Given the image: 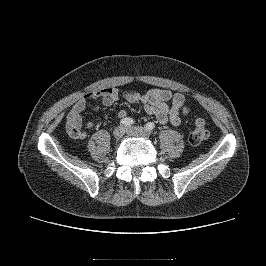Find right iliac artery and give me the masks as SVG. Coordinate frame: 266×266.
<instances>
[{
    "label": "right iliac artery",
    "mask_w": 266,
    "mask_h": 266,
    "mask_svg": "<svg viewBox=\"0 0 266 266\" xmlns=\"http://www.w3.org/2000/svg\"><path fill=\"white\" fill-rule=\"evenodd\" d=\"M134 124V120L130 117H126L120 120V125L122 126H131Z\"/></svg>",
    "instance_id": "82829eb1"
}]
</instances>
